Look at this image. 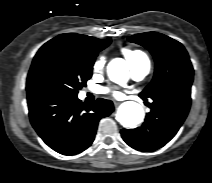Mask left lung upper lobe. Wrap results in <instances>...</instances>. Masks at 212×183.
Masks as SVG:
<instances>
[{
    "mask_svg": "<svg viewBox=\"0 0 212 183\" xmlns=\"http://www.w3.org/2000/svg\"><path fill=\"white\" fill-rule=\"evenodd\" d=\"M128 40L147 48L156 62L154 77L141 96L148 98L160 92L191 88L194 70L180 42L157 32L136 34Z\"/></svg>",
    "mask_w": 212,
    "mask_h": 183,
    "instance_id": "1",
    "label": "left lung upper lobe"
}]
</instances>
